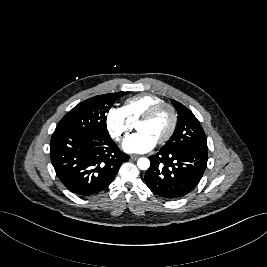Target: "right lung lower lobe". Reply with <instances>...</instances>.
<instances>
[{
    "label": "right lung lower lobe",
    "mask_w": 267,
    "mask_h": 267,
    "mask_svg": "<svg viewBox=\"0 0 267 267\" xmlns=\"http://www.w3.org/2000/svg\"><path fill=\"white\" fill-rule=\"evenodd\" d=\"M50 156L56 175L64 186L79 196L106 188L129 156L111 137L102 134L54 132Z\"/></svg>",
    "instance_id": "right-lung-lower-lobe-1"
}]
</instances>
